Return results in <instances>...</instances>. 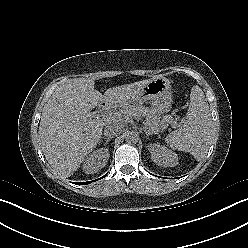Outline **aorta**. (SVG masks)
<instances>
[{
	"label": "aorta",
	"instance_id": "obj_1",
	"mask_svg": "<svg viewBox=\"0 0 248 248\" xmlns=\"http://www.w3.org/2000/svg\"><path fill=\"white\" fill-rule=\"evenodd\" d=\"M125 140L127 143L136 144L139 141V135L135 131H129L125 136Z\"/></svg>",
	"mask_w": 248,
	"mask_h": 248
}]
</instances>
